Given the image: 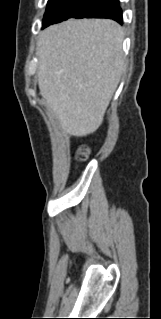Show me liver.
Instances as JSON below:
<instances>
[{"instance_id": "liver-1", "label": "liver", "mask_w": 161, "mask_h": 319, "mask_svg": "<svg viewBox=\"0 0 161 319\" xmlns=\"http://www.w3.org/2000/svg\"><path fill=\"white\" fill-rule=\"evenodd\" d=\"M123 28L108 19L68 20L41 32V96L74 136L95 132L124 71Z\"/></svg>"}]
</instances>
